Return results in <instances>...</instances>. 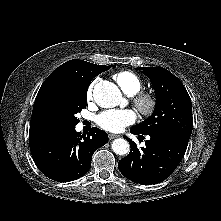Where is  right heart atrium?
I'll list each match as a JSON object with an SVG mask.
<instances>
[{"label": "right heart atrium", "mask_w": 221, "mask_h": 221, "mask_svg": "<svg viewBox=\"0 0 221 221\" xmlns=\"http://www.w3.org/2000/svg\"><path fill=\"white\" fill-rule=\"evenodd\" d=\"M98 80L95 79L94 81L91 82V84L89 85L88 89H87V93H86V96H87V99L88 100H91L93 98V94H94V89H95V86L97 84Z\"/></svg>", "instance_id": "obj_1"}]
</instances>
